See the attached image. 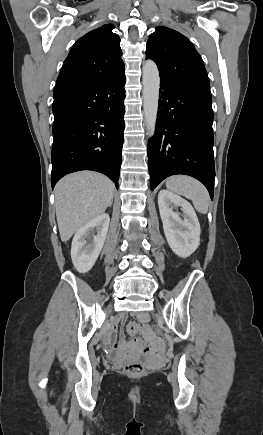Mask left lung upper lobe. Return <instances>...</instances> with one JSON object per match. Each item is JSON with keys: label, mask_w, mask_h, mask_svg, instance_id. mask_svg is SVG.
Returning a JSON list of instances; mask_svg holds the SVG:
<instances>
[{"label": "left lung upper lobe", "mask_w": 263, "mask_h": 435, "mask_svg": "<svg viewBox=\"0 0 263 435\" xmlns=\"http://www.w3.org/2000/svg\"><path fill=\"white\" fill-rule=\"evenodd\" d=\"M146 58L155 61L161 80L211 94L203 60L181 33L167 27L156 28L147 41Z\"/></svg>", "instance_id": "obj_1"}]
</instances>
